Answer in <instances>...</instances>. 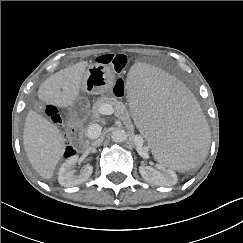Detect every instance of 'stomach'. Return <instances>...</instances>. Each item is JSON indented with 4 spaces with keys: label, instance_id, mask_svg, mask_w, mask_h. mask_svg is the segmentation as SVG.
<instances>
[{
    "label": "stomach",
    "instance_id": "stomach-1",
    "mask_svg": "<svg viewBox=\"0 0 243 243\" xmlns=\"http://www.w3.org/2000/svg\"><path fill=\"white\" fill-rule=\"evenodd\" d=\"M113 83L114 74L109 67L98 63L91 64L84 73L81 91L92 95L104 94L111 89ZM83 106H85V101L79 97L70 108V112L75 114Z\"/></svg>",
    "mask_w": 243,
    "mask_h": 243
}]
</instances>
